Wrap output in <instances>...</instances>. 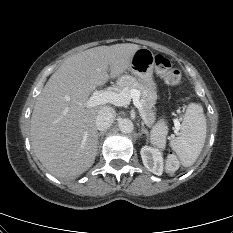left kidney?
<instances>
[{"label":"left kidney","instance_id":"1","mask_svg":"<svg viewBox=\"0 0 233 233\" xmlns=\"http://www.w3.org/2000/svg\"><path fill=\"white\" fill-rule=\"evenodd\" d=\"M144 166L155 175L163 173V156L162 152L150 146H144L140 151Z\"/></svg>","mask_w":233,"mask_h":233}]
</instances>
